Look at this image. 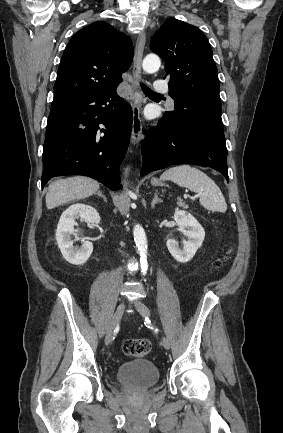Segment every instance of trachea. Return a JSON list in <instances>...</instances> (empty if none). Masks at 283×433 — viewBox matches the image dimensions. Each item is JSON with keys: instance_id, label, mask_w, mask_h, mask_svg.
<instances>
[{"instance_id": "trachea-1", "label": "trachea", "mask_w": 283, "mask_h": 433, "mask_svg": "<svg viewBox=\"0 0 283 433\" xmlns=\"http://www.w3.org/2000/svg\"><path fill=\"white\" fill-rule=\"evenodd\" d=\"M140 86H141L145 95H161L160 93L154 92L153 90H151V88L147 87L143 83H140Z\"/></svg>"}]
</instances>
